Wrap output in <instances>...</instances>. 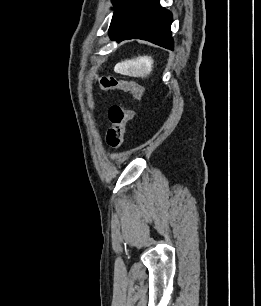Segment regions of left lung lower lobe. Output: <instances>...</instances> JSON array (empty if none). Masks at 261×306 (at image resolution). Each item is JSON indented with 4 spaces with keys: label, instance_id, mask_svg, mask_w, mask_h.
<instances>
[{
    "label": "left lung lower lobe",
    "instance_id": "obj_1",
    "mask_svg": "<svg viewBox=\"0 0 261 306\" xmlns=\"http://www.w3.org/2000/svg\"><path fill=\"white\" fill-rule=\"evenodd\" d=\"M171 23V12L162 8L159 0H132L109 36L117 42L143 39L173 50Z\"/></svg>",
    "mask_w": 261,
    "mask_h": 306
}]
</instances>
